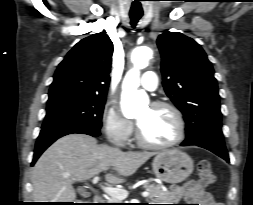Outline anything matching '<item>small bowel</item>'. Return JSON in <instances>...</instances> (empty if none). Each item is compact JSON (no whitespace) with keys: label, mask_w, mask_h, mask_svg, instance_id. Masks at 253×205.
<instances>
[{"label":"small bowel","mask_w":253,"mask_h":205,"mask_svg":"<svg viewBox=\"0 0 253 205\" xmlns=\"http://www.w3.org/2000/svg\"><path fill=\"white\" fill-rule=\"evenodd\" d=\"M175 200L185 199L196 204L191 205H222L212 195L195 181H189L184 186L176 189L173 193Z\"/></svg>","instance_id":"obj_1"}]
</instances>
